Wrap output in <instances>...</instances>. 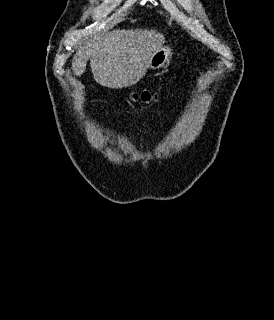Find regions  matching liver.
<instances>
[{
  "mask_svg": "<svg viewBox=\"0 0 274 320\" xmlns=\"http://www.w3.org/2000/svg\"><path fill=\"white\" fill-rule=\"evenodd\" d=\"M165 38L155 30H112L81 42L72 60L75 76L84 74L90 60L95 82L106 88H128L144 78L150 60Z\"/></svg>",
  "mask_w": 274,
  "mask_h": 320,
  "instance_id": "liver-1",
  "label": "liver"
}]
</instances>
